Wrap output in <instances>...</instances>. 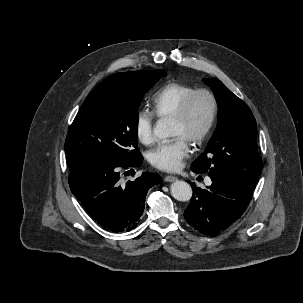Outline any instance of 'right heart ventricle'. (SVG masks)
Wrapping results in <instances>:
<instances>
[{
	"mask_svg": "<svg viewBox=\"0 0 303 303\" xmlns=\"http://www.w3.org/2000/svg\"><path fill=\"white\" fill-rule=\"evenodd\" d=\"M195 88L180 82H169L160 88L152 100V111L160 119L172 118L184 99Z\"/></svg>",
	"mask_w": 303,
	"mask_h": 303,
	"instance_id": "obj_1",
	"label": "right heart ventricle"
}]
</instances>
